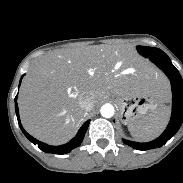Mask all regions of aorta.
Masks as SVG:
<instances>
[{"mask_svg":"<svg viewBox=\"0 0 183 183\" xmlns=\"http://www.w3.org/2000/svg\"><path fill=\"white\" fill-rule=\"evenodd\" d=\"M114 107L107 103V104H104L102 107H101V115L105 118H110L114 115Z\"/></svg>","mask_w":183,"mask_h":183,"instance_id":"aorta-1","label":"aorta"}]
</instances>
